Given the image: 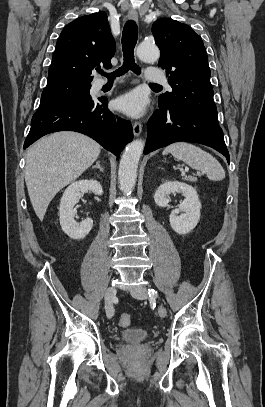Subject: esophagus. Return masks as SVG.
<instances>
[{
  "instance_id": "obj_1",
  "label": "esophagus",
  "mask_w": 265,
  "mask_h": 407,
  "mask_svg": "<svg viewBox=\"0 0 265 407\" xmlns=\"http://www.w3.org/2000/svg\"><path fill=\"white\" fill-rule=\"evenodd\" d=\"M129 19L133 21H138V13L135 9H130L128 12ZM142 132V124L141 122H135L133 124V134L135 137H138Z\"/></svg>"
}]
</instances>
